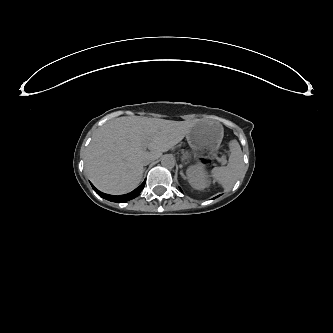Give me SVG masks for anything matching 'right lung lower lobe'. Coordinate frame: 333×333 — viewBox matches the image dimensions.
Listing matches in <instances>:
<instances>
[{"label": "right lung lower lobe", "mask_w": 333, "mask_h": 333, "mask_svg": "<svg viewBox=\"0 0 333 333\" xmlns=\"http://www.w3.org/2000/svg\"><path fill=\"white\" fill-rule=\"evenodd\" d=\"M144 185H145V182H143L138 188H136L134 191H132L131 193L129 194H126V195H121V196H117L120 198H122V200H125V199H132L134 198L135 196H137L144 188ZM93 189L100 195V196H112V195H108V194H104L102 192H100L99 190H97L94 186H93Z\"/></svg>", "instance_id": "98d812e1"}]
</instances>
